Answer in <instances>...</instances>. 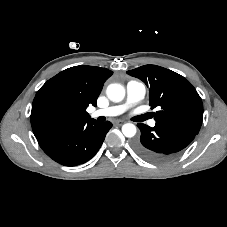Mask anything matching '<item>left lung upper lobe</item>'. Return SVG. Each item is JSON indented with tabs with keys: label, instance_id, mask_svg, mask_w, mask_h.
Wrapping results in <instances>:
<instances>
[{
	"label": "left lung upper lobe",
	"instance_id": "1",
	"mask_svg": "<svg viewBox=\"0 0 227 227\" xmlns=\"http://www.w3.org/2000/svg\"><path fill=\"white\" fill-rule=\"evenodd\" d=\"M127 73L149 87L150 106L160 108L154 114L156 123L199 132L203 120V103L186 78L156 65H144Z\"/></svg>",
	"mask_w": 227,
	"mask_h": 227
}]
</instances>
